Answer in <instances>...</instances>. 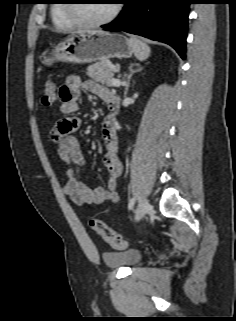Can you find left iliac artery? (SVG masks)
<instances>
[{"label":"left iliac artery","instance_id":"left-iliac-artery-1","mask_svg":"<svg viewBox=\"0 0 236 321\" xmlns=\"http://www.w3.org/2000/svg\"><path fill=\"white\" fill-rule=\"evenodd\" d=\"M134 203H135V199H134V198L130 199L129 204H128V208H129L130 210L133 208Z\"/></svg>","mask_w":236,"mask_h":321}]
</instances>
